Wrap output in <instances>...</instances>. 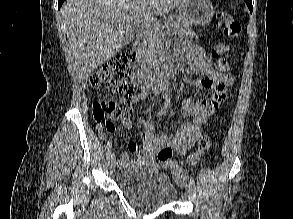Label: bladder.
Wrapping results in <instances>:
<instances>
[{"label":"bladder","instance_id":"bladder-1","mask_svg":"<svg viewBox=\"0 0 293 219\" xmlns=\"http://www.w3.org/2000/svg\"><path fill=\"white\" fill-rule=\"evenodd\" d=\"M116 183L136 205L159 208L174 202L178 189L162 171L151 166L134 165L118 172Z\"/></svg>","mask_w":293,"mask_h":219}]
</instances>
